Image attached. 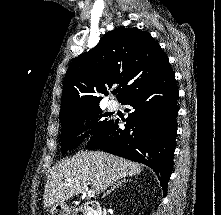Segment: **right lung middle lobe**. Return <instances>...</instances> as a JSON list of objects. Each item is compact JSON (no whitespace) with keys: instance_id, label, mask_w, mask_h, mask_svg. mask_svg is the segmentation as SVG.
I'll return each instance as SVG.
<instances>
[{"instance_id":"1","label":"right lung middle lobe","mask_w":221,"mask_h":215,"mask_svg":"<svg viewBox=\"0 0 221 215\" xmlns=\"http://www.w3.org/2000/svg\"><path fill=\"white\" fill-rule=\"evenodd\" d=\"M103 116H106V114H102L100 107H97L61 120L62 152L65 153L80 145L83 142V139L88 135V132L81 136H78V134L83 133L88 128H91L90 133H93L105 126L109 121H107V119L100 121Z\"/></svg>"}]
</instances>
